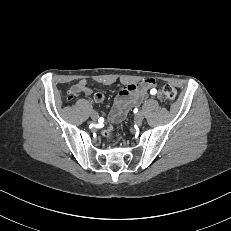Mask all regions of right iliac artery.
<instances>
[{
	"instance_id": "right-iliac-artery-1",
	"label": "right iliac artery",
	"mask_w": 231,
	"mask_h": 231,
	"mask_svg": "<svg viewBox=\"0 0 231 231\" xmlns=\"http://www.w3.org/2000/svg\"><path fill=\"white\" fill-rule=\"evenodd\" d=\"M98 121H99L100 123H103V122H104V118L100 117Z\"/></svg>"
}]
</instances>
